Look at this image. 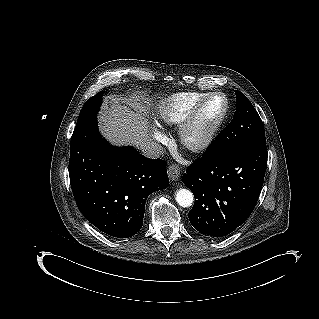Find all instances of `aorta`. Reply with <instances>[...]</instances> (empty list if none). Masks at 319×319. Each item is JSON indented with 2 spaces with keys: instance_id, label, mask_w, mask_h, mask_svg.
Listing matches in <instances>:
<instances>
[{
  "instance_id": "762f6f07",
  "label": "aorta",
  "mask_w": 319,
  "mask_h": 319,
  "mask_svg": "<svg viewBox=\"0 0 319 319\" xmlns=\"http://www.w3.org/2000/svg\"><path fill=\"white\" fill-rule=\"evenodd\" d=\"M176 202L181 206V207H190L193 203L194 196L192 192L188 189H179L176 192Z\"/></svg>"
}]
</instances>
